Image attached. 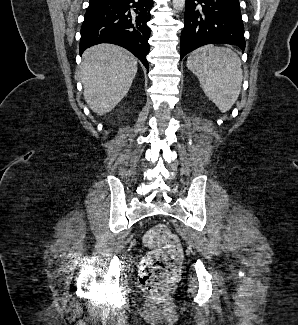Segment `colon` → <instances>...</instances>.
Instances as JSON below:
<instances>
[{"instance_id":"1","label":"colon","mask_w":298,"mask_h":325,"mask_svg":"<svg viewBox=\"0 0 298 325\" xmlns=\"http://www.w3.org/2000/svg\"><path fill=\"white\" fill-rule=\"evenodd\" d=\"M143 241L151 251L140 263L139 281L151 294L163 297L179 276L183 257L180 241L163 224L151 227Z\"/></svg>"}]
</instances>
